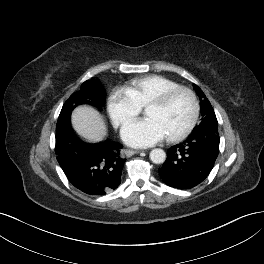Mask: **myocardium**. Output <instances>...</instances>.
Listing matches in <instances>:
<instances>
[{
  "instance_id": "myocardium-1",
  "label": "myocardium",
  "mask_w": 264,
  "mask_h": 264,
  "mask_svg": "<svg viewBox=\"0 0 264 264\" xmlns=\"http://www.w3.org/2000/svg\"><path fill=\"white\" fill-rule=\"evenodd\" d=\"M179 94H186L190 98L191 103H192V115H191V118H190L188 124L182 130H180L179 132H177L175 134L166 136V139L170 142H177V141L184 139L195 128V126L198 122V119H199V115H200V104H199V101H198L196 94L194 93L193 90H191L188 87L178 86V87H175L173 89H170V90L164 92L160 96L151 100L146 105V108H148V107H164L167 104H169Z\"/></svg>"
}]
</instances>
